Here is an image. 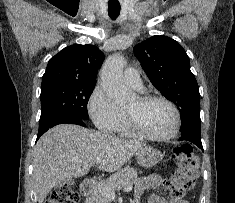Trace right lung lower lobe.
<instances>
[{"label":"right lung lower lobe","mask_w":235,"mask_h":203,"mask_svg":"<svg viewBox=\"0 0 235 203\" xmlns=\"http://www.w3.org/2000/svg\"><path fill=\"white\" fill-rule=\"evenodd\" d=\"M63 123L77 124V125L86 127V124L84 123V120H81V119H78V118H74V117H58V118H54V119H51V120H48V121H46L44 123L39 124L37 140L48 129L52 128L55 125L63 124Z\"/></svg>","instance_id":"98d812e1"}]
</instances>
